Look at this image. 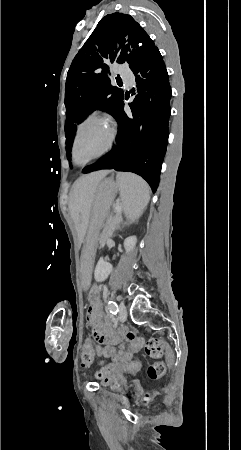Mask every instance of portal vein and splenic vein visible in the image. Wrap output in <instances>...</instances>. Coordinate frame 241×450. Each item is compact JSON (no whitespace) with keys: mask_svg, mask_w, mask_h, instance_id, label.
<instances>
[{"mask_svg":"<svg viewBox=\"0 0 241 450\" xmlns=\"http://www.w3.org/2000/svg\"><path fill=\"white\" fill-rule=\"evenodd\" d=\"M121 207H124V202H115L114 203V212L115 213H122V208Z\"/></svg>","mask_w":241,"mask_h":450,"instance_id":"18ae733b","label":"portal vein and splenic vein"}]
</instances>
